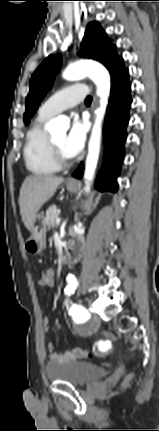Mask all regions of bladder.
Instances as JSON below:
<instances>
[{
	"mask_svg": "<svg viewBox=\"0 0 159 431\" xmlns=\"http://www.w3.org/2000/svg\"><path fill=\"white\" fill-rule=\"evenodd\" d=\"M107 374L106 367L87 361L49 362L45 368L46 378L50 382L66 383L76 387L95 382Z\"/></svg>",
	"mask_w": 159,
	"mask_h": 431,
	"instance_id": "obj_1",
	"label": "bladder"
}]
</instances>
